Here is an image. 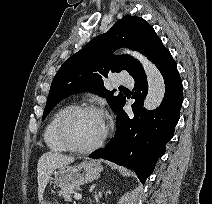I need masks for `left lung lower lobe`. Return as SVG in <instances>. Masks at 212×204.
I'll return each mask as SVG.
<instances>
[{
  "label": "left lung lower lobe",
  "instance_id": "1",
  "mask_svg": "<svg viewBox=\"0 0 212 204\" xmlns=\"http://www.w3.org/2000/svg\"><path fill=\"white\" fill-rule=\"evenodd\" d=\"M163 75L166 91L161 105L152 111L143 108L148 92L144 71L133 76V116L123 107L126 99L115 111L118 117L117 132L105 149L92 153L90 158H103L136 172L142 183L152 173L154 166L165 153L180 117L183 102L182 81L177 64L165 48L152 61Z\"/></svg>",
  "mask_w": 212,
  "mask_h": 204
}]
</instances>
